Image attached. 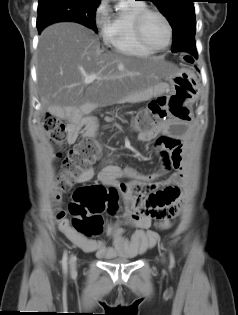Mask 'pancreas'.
I'll list each match as a JSON object with an SVG mask.
<instances>
[{"mask_svg":"<svg viewBox=\"0 0 238 315\" xmlns=\"http://www.w3.org/2000/svg\"><path fill=\"white\" fill-rule=\"evenodd\" d=\"M131 98H132V99H139V98H140V94L135 93V94L132 95Z\"/></svg>","mask_w":238,"mask_h":315,"instance_id":"obj_1","label":"pancreas"}]
</instances>
